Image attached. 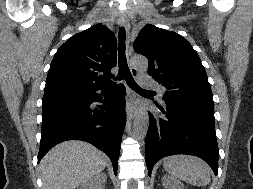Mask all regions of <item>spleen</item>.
Returning a JSON list of instances; mask_svg holds the SVG:
<instances>
[{"label": "spleen", "instance_id": "obj_1", "mask_svg": "<svg viewBox=\"0 0 253 189\" xmlns=\"http://www.w3.org/2000/svg\"><path fill=\"white\" fill-rule=\"evenodd\" d=\"M164 169L174 178L202 186L210 182L211 170L200 158L190 155H173L164 158Z\"/></svg>", "mask_w": 253, "mask_h": 189}]
</instances>
